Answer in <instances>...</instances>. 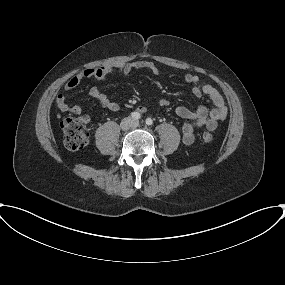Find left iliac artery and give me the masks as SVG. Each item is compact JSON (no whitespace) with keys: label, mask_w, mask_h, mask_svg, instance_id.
<instances>
[{"label":"left iliac artery","mask_w":285,"mask_h":285,"mask_svg":"<svg viewBox=\"0 0 285 285\" xmlns=\"http://www.w3.org/2000/svg\"><path fill=\"white\" fill-rule=\"evenodd\" d=\"M145 122H146L147 125H152L153 124V120L151 118H147Z\"/></svg>","instance_id":"44dca946"}]
</instances>
